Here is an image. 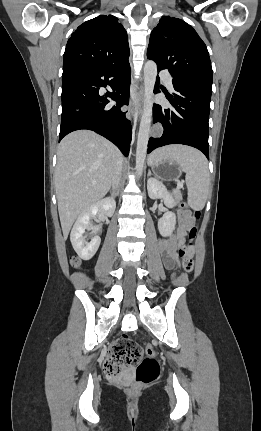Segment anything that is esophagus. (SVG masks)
<instances>
[{
    "label": "esophagus",
    "mask_w": 261,
    "mask_h": 431,
    "mask_svg": "<svg viewBox=\"0 0 261 431\" xmlns=\"http://www.w3.org/2000/svg\"><path fill=\"white\" fill-rule=\"evenodd\" d=\"M143 87L138 91H131V99L128 107L127 117L137 119L142 112Z\"/></svg>",
    "instance_id": "esophagus-1"
}]
</instances>
